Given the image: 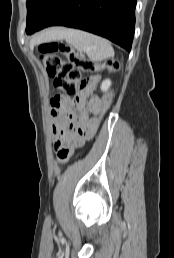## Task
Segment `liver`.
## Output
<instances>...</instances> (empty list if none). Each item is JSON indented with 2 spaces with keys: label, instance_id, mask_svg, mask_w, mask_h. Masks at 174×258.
I'll list each match as a JSON object with an SVG mask.
<instances>
[{
  "label": "liver",
  "instance_id": "obj_1",
  "mask_svg": "<svg viewBox=\"0 0 174 258\" xmlns=\"http://www.w3.org/2000/svg\"><path fill=\"white\" fill-rule=\"evenodd\" d=\"M52 31H47V32H43L41 33L39 36H37L35 39H33L31 41V45H35L37 43H40L42 41H47V40H50V39H55L53 36H52Z\"/></svg>",
  "mask_w": 174,
  "mask_h": 258
}]
</instances>
